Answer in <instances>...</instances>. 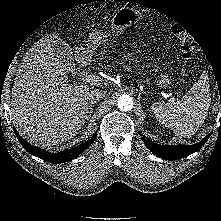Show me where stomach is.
<instances>
[{"mask_svg":"<svg viewBox=\"0 0 221 221\" xmlns=\"http://www.w3.org/2000/svg\"><path fill=\"white\" fill-rule=\"evenodd\" d=\"M141 18L142 14L133 8L123 7L118 9L110 21L112 35L123 33L126 28L130 27L134 22L140 20ZM109 36V33L103 31L92 32L89 35L86 44H83L78 48V52L84 55L86 58L90 57L97 46L105 42ZM158 83L162 87H167L170 85L171 79L168 75L162 74Z\"/></svg>","mask_w":221,"mask_h":221,"instance_id":"stomach-1","label":"stomach"}]
</instances>
